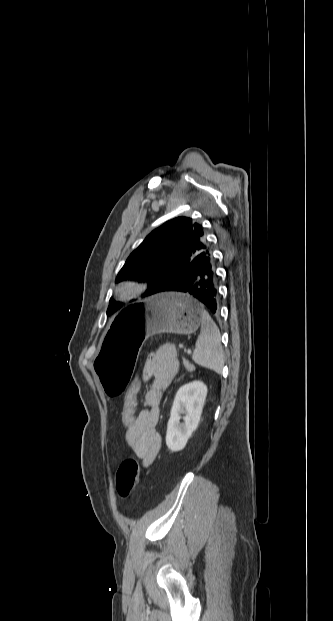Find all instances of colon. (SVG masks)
I'll use <instances>...</instances> for the list:
<instances>
[{
	"label": "colon",
	"instance_id": "1",
	"mask_svg": "<svg viewBox=\"0 0 333 621\" xmlns=\"http://www.w3.org/2000/svg\"><path fill=\"white\" fill-rule=\"evenodd\" d=\"M139 391L140 381L135 377L128 386L122 404L121 420L126 426L132 425L137 418ZM139 472V465L135 458H127L122 461L116 474V489L121 498L130 496L138 483Z\"/></svg>",
	"mask_w": 333,
	"mask_h": 621
}]
</instances>
